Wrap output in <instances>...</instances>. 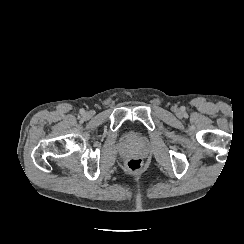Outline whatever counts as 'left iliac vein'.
Masks as SVG:
<instances>
[{
    "label": "left iliac vein",
    "mask_w": 244,
    "mask_h": 244,
    "mask_svg": "<svg viewBox=\"0 0 244 244\" xmlns=\"http://www.w3.org/2000/svg\"><path fill=\"white\" fill-rule=\"evenodd\" d=\"M176 112H177V113H180V114H181V111H180V109H177V110H176Z\"/></svg>",
    "instance_id": "1"
}]
</instances>
